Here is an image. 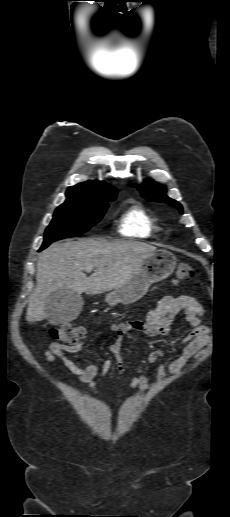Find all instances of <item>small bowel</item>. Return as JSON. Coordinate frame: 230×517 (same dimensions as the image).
I'll use <instances>...</instances> for the list:
<instances>
[{"label":"small bowel","mask_w":230,"mask_h":517,"mask_svg":"<svg viewBox=\"0 0 230 517\" xmlns=\"http://www.w3.org/2000/svg\"><path fill=\"white\" fill-rule=\"evenodd\" d=\"M202 307L197 300L191 296L183 295L173 297L170 295L162 297L156 308L150 310L144 320L132 319L121 323H112L110 330L115 335V341L110 345V351L114 356V362L117 372L122 375L124 368L121 358L122 341L125 337L133 332H143L149 336H171L170 325L173 318L178 313H183V316L191 328L189 334L183 338L178 339L179 343L183 345L180 354L172 360L166 368L160 364L156 370V378L158 381H163L165 377L177 374L189 360H198L204 354L205 347L209 342V330L201 323L200 316L202 315ZM84 340L74 346H66L57 342L49 344L45 351L46 360L54 364L60 360L68 369L73 371L79 380L86 384L92 390H95V381L97 378L106 375L113 366V360L106 359L100 367L97 364H91L85 367H80L70 358L82 349ZM164 352L162 350H155L148 354V363H156ZM141 388L147 391L149 388L148 380L144 374H138L132 378L129 383V388Z\"/></svg>","instance_id":"small-bowel-1"}]
</instances>
